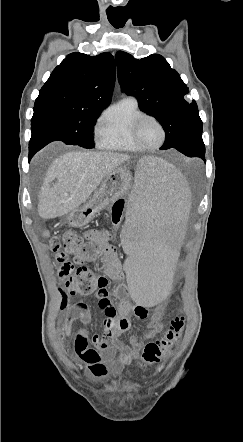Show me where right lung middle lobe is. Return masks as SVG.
<instances>
[{
    "label": "right lung middle lobe",
    "instance_id": "1",
    "mask_svg": "<svg viewBox=\"0 0 243 442\" xmlns=\"http://www.w3.org/2000/svg\"><path fill=\"white\" fill-rule=\"evenodd\" d=\"M101 110L75 108L59 99H36L31 119L32 136L93 148V129Z\"/></svg>",
    "mask_w": 243,
    "mask_h": 442
}]
</instances>
